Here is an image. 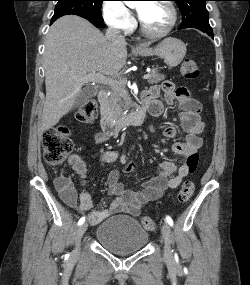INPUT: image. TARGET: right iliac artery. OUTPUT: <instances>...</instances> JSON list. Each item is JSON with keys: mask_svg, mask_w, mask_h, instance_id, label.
I'll return each mask as SVG.
<instances>
[{"mask_svg": "<svg viewBox=\"0 0 250 285\" xmlns=\"http://www.w3.org/2000/svg\"><path fill=\"white\" fill-rule=\"evenodd\" d=\"M85 222V217H82L78 221V225H82Z\"/></svg>", "mask_w": 250, "mask_h": 285, "instance_id": "obj_1", "label": "right iliac artery"}]
</instances>
